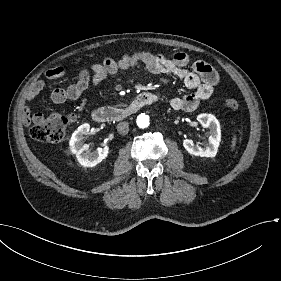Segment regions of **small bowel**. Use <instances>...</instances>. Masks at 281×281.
<instances>
[{"label":"small bowel","mask_w":281,"mask_h":281,"mask_svg":"<svg viewBox=\"0 0 281 281\" xmlns=\"http://www.w3.org/2000/svg\"><path fill=\"white\" fill-rule=\"evenodd\" d=\"M189 65L190 58L184 52H177L172 57L146 51L124 54L119 58L106 57L102 62L93 64L90 69H82L75 83L52 90L50 99L54 103L79 99L87 90L100 84L108 75L142 67L153 74H172L181 79L188 88L193 89L187 95L175 96L170 99V107L173 110L192 112L202 101L207 100L212 95L214 87L219 82V75L207 62L198 60L192 63L191 68H189ZM64 72L63 67H55L47 70L45 76L48 79H57L62 77ZM43 87V81L35 82L26 94L27 102H31L42 91ZM150 94L151 100L149 103L159 99L156 94ZM42 119L43 116L39 112L32 116L28 105L24 108L22 121L26 126L32 120L39 123Z\"/></svg>","instance_id":"1"}]
</instances>
